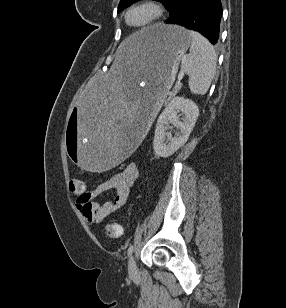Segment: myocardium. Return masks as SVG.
Returning <instances> with one entry per match:
<instances>
[{
  "instance_id": "obj_1",
  "label": "myocardium",
  "mask_w": 286,
  "mask_h": 308,
  "mask_svg": "<svg viewBox=\"0 0 286 308\" xmlns=\"http://www.w3.org/2000/svg\"><path fill=\"white\" fill-rule=\"evenodd\" d=\"M138 7H148L152 10L153 15L152 17L145 23L141 25H133L129 22V14L132 10ZM163 14V8L161 4L157 0H140L134 3L125 13V21L127 25L136 29H142L151 26L152 24L156 23Z\"/></svg>"
}]
</instances>
